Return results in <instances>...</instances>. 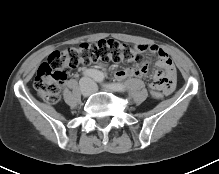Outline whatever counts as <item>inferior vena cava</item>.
I'll return each instance as SVG.
<instances>
[{"label":"inferior vena cava","mask_w":219,"mask_h":174,"mask_svg":"<svg viewBox=\"0 0 219 174\" xmlns=\"http://www.w3.org/2000/svg\"><path fill=\"white\" fill-rule=\"evenodd\" d=\"M89 83L92 85L93 88H95V83L92 80H89ZM91 91H93V89Z\"/></svg>","instance_id":"1"}]
</instances>
